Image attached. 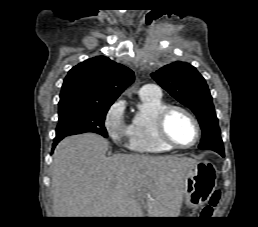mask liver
I'll list each match as a JSON object with an SVG mask.
<instances>
[{"label": "liver", "mask_w": 258, "mask_h": 227, "mask_svg": "<svg viewBox=\"0 0 258 227\" xmlns=\"http://www.w3.org/2000/svg\"><path fill=\"white\" fill-rule=\"evenodd\" d=\"M87 133L63 139L52 162L55 217H177L186 171L197 162L175 156L116 154Z\"/></svg>", "instance_id": "6515ba94"}]
</instances>
